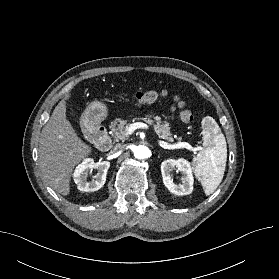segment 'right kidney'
<instances>
[{"label": "right kidney", "mask_w": 279, "mask_h": 279, "mask_svg": "<svg viewBox=\"0 0 279 279\" xmlns=\"http://www.w3.org/2000/svg\"><path fill=\"white\" fill-rule=\"evenodd\" d=\"M109 167L110 162L108 161L95 163L91 158L84 159L82 163L76 167L73 174L77 188L82 192H94L99 190L105 184ZM93 169H97L98 173L92 181H87L88 173Z\"/></svg>", "instance_id": "right-kidney-1"}]
</instances>
